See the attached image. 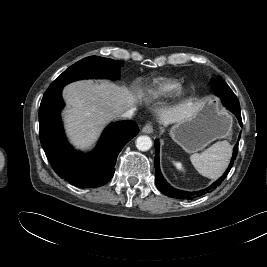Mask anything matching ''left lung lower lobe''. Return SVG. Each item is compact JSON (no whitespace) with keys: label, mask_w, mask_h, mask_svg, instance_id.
Listing matches in <instances>:
<instances>
[{"label":"left lung lower lobe","mask_w":267,"mask_h":267,"mask_svg":"<svg viewBox=\"0 0 267 267\" xmlns=\"http://www.w3.org/2000/svg\"><path fill=\"white\" fill-rule=\"evenodd\" d=\"M223 105L228 108L232 113H234L236 115V117L239 120V124L242 126V119H241V112H240V104L239 101L237 99V97L235 96V94L233 93V91H229L226 93H223L220 96ZM239 139H240V135H239ZM238 143L235 145L234 150H233V157L231 159V163L227 169V171L224 173V175L219 178L216 182H214L211 186H209L208 188L198 191V192H186V191H181L178 189H175L173 187H171L167 181L163 178L161 171H160V167H159V142L158 140H155V183L158 187V189L165 195L173 197V198H180V199H192L195 197H198L202 194H204L205 192L214 189L215 187H217L221 181L226 177V175L228 174V172L230 171V168L233 164L234 159L236 158L237 155V151H238Z\"/></svg>","instance_id":"obj_1"}]
</instances>
